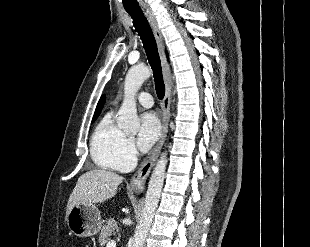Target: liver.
I'll list each match as a JSON object with an SVG mask.
<instances>
[{
    "mask_svg": "<svg viewBox=\"0 0 310 247\" xmlns=\"http://www.w3.org/2000/svg\"><path fill=\"white\" fill-rule=\"evenodd\" d=\"M123 177L107 170L93 169L82 174L71 193L66 210V217L73 206L96 204L115 196Z\"/></svg>",
    "mask_w": 310,
    "mask_h": 247,
    "instance_id": "1",
    "label": "liver"
}]
</instances>
